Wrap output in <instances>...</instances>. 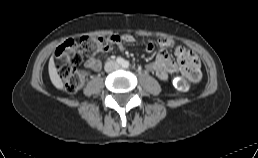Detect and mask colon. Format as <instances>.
<instances>
[{"label":"colon","mask_w":258,"mask_h":158,"mask_svg":"<svg viewBox=\"0 0 258 158\" xmlns=\"http://www.w3.org/2000/svg\"><path fill=\"white\" fill-rule=\"evenodd\" d=\"M121 39L119 36H83L79 40L67 39L56 50V57L59 60L57 73L62 80L65 90L75 93L82 89L85 84L86 74L79 71L76 66L83 60L82 52L89 58L101 52L113 50ZM176 87L183 92L190 89L186 78H179Z\"/></svg>","instance_id":"obj_1"}]
</instances>
